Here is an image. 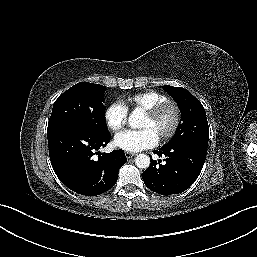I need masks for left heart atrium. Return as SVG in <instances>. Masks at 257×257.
Returning a JSON list of instances; mask_svg holds the SVG:
<instances>
[{
  "label": "left heart atrium",
  "mask_w": 257,
  "mask_h": 257,
  "mask_svg": "<svg viewBox=\"0 0 257 257\" xmlns=\"http://www.w3.org/2000/svg\"><path fill=\"white\" fill-rule=\"evenodd\" d=\"M159 137L150 129L126 130L116 135L114 143L117 147L138 152L155 147Z\"/></svg>",
  "instance_id": "39dd6f15"
}]
</instances>
